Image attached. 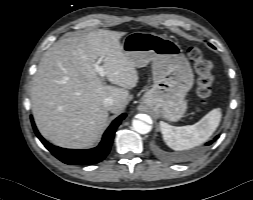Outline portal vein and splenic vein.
I'll use <instances>...</instances> for the list:
<instances>
[{"mask_svg": "<svg viewBox=\"0 0 253 200\" xmlns=\"http://www.w3.org/2000/svg\"><path fill=\"white\" fill-rule=\"evenodd\" d=\"M102 62V59H99L96 63H95V69L97 70V72L99 73V75L101 77H104L106 75V72L102 69V67L99 65Z\"/></svg>", "mask_w": 253, "mask_h": 200, "instance_id": "18ae733b", "label": "portal vein and splenic vein"}]
</instances>
